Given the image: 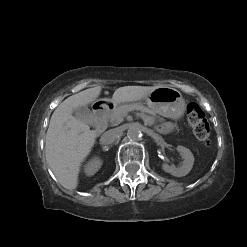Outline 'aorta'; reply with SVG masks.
Returning <instances> with one entry per match:
<instances>
[{"instance_id": "1", "label": "aorta", "mask_w": 247, "mask_h": 247, "mask_svg": "<svg viewBox=\"0 0 247 247\" xmlns=\"http://www.w3.org/2000/svg\"><path fill=\"white\" fill-rule=\"evenodd\" d=\"M127 137L133 141L139 140L141 137L140 129L135 126L130 127L127 131Z\"/></svg>"}]
</instances>
